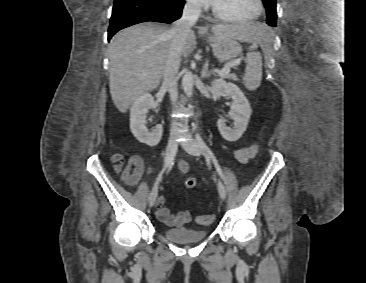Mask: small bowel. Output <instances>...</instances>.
Masks as SVG:
<instances>
[{"label":"small bowel","mask_w":366,"mask_h":283,"mask_svg":"<svg viewBox=\"0 0 366 283\" xmlns=\"http://www.w3.org/2000/svg\"><path fill=\"white\" fill-rule=\"evenodd\" d=\"M256 152V146L242 147L234 152V157L240 163H246L251 159ZM112 162L114 164L113 169L115 173L120 175L121 181L129 186L133 187L138 184L140 178L145 173H150V169H146L144 166L143 158L139 155H132L127 162L120 154L112 156ZM179 172L185 174L188 171V164L185 161H181L178 165ZM157 217L168 226L179 227L185 224L190 219L188 212H179L176 215L170 213L169 209L165 205V198L160 196L156 203Z\"/></svg>","instance_id":"obj_1"}]
</instances>
